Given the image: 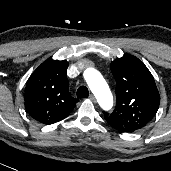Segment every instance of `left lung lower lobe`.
Returning a JSON list of instances; mask_svg holds the SVG:
<instances>
[{"instance_id":"obj_1","label":"left lung lower lobe","mask_w":171,"mask_h":171,"mask_svg":"<svg viewBox=\"0 0 171 171\" xmlns=\"http://www.w3.org/2000/svg\"><path fill=\"white\" fill-rule=\"evenodd\" d=\"M133 131H135V130H133V129H125V130H121L120 132H133Z\"/></svg>"}]
</instances>
